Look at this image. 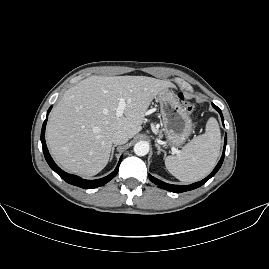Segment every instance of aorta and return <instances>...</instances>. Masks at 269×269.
<instances>
[{"label": "aorta", "instance_id": "1", "mask_svg": "<svg viewBox=\"0 0 269 269\" xmlns=\"http://www.w3.org/2000/svg\"><path fill=\"white\" fill-rule=\"evenodd\" d=\"M133 150H134L135 155L142 157V156H145L149 152V145L148 143L144 141H140L134 145Z\"/></svg>", "mask_w": 269, "mask_h": 269}]
</instances>
